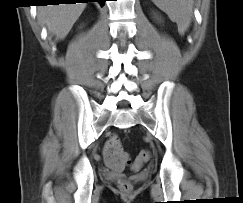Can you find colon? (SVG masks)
<instances>
[{
	"mask_svg": "<svg viewBox=\"0 0 243 203\" xmlns=\"http://www.w3.org/2000/svg\"><path fill=\"white\" fill-rule=\"evenodd\" d=\"M118 157H119V160L126 164V163H129V154L124 151V150H120L118 152ZM151 157V154L149 151L147 150H143L139 153L138 155V159H137V166H141L143 163L147 162ZM119 189L122 191V192H125V193H130L133 189V186L132 184L129 182V181H121L119 183Z\"/></svg>",
	"mask_w": 243,
	"mask_h": 203,
	"instance_id": "5ec220e1",
	"label": "colon"
}]
</instances>
